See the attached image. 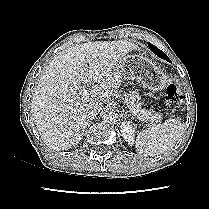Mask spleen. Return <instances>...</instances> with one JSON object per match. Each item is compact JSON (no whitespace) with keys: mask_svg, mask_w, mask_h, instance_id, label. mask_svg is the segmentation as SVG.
<instances>
[{"mask_svg":"<svg viewBox=\"0 0 209 209\" xmlns=\"http://www.w3.org/2000/svg\"><path fill=\"white\" fill-rule=\"evenodd\" d=\"M183 131L184 125L180 119H167L163 124L151 126L138 133L136 151L143 156L163 154L176 144Z\"/></svg>","mask_w":209,"mask_h":209,"instance_id":"1","label":"spleen"}]
</instances>
